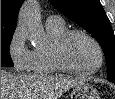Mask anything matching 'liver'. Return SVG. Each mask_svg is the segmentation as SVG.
Returning <instances> with one entry per match:
<instances>
[{
    "mask_svg": "<svg viewBox=\"0 0 115 99\" xmlns=\"http://www.w3.org/2000/svg\"><path fill=\"white\" fill-rule=\"evenodd\" d=\"M82 82L63 76L13 75L1 70V99H59Z\"/></svg>",
    "mask_w": 115,
    "mask_h": 99,
    "instance_id": "liver-1",
    "label": "liver"
}]
</instances>
